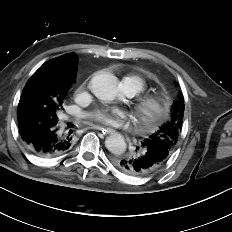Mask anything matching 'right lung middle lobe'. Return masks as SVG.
<instances>
[{
  "label": "right lung middle lobe",
  "instance_id": "dd1d6c3e",
  "mask_svg": "<svg viewBox=\"0 0 232 232\" xmlns=\"http://www.w3.org/2000/svg\"><path fill=\"white\" fill-rule=\"evenodd\" d=\"M69 86L42 74L27 82L19 104L18 122L20 133L37 124L48 129L58 126V111L66 98Z\"/></svg>",
  "mask_w": 232,
  "mask_h": 232
}]
</instances>
